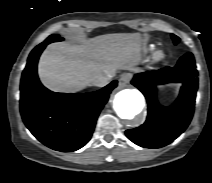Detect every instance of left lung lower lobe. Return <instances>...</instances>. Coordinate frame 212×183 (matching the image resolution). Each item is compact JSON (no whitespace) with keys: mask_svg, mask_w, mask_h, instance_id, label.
<instances>
[{"mask_svg":"<svg viewBox=\"0 0 212 183\" xmlns=\"http://www.w3.org/2000/svg\"><path fill=\"white\" fill-rule=\"evenodd\" d=\"M198 72L191 53L181 57L175 67L136 74L131 83L146 97L148 116L144 124L126 131L135 144L146 148H160L174 141L188 127L198 88ZM183 82L180 95L170 107L159 105L156 85Z\"/></svg>","mask_w":212,"mask_h":183,"instance_id":"left-lung-lower-lobe-1","label":"left lung lower lobe"}]
</instances>
